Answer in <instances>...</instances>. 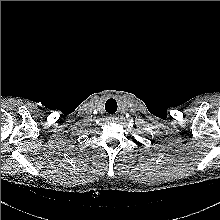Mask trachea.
Listing matches in <instances>:
<instances>
[{"mask_svg":"<svg viewBox=\"0 0 220 220\" xmlns=\"http://www.w3.org/2000/svg\"><path fill=\"white\" fill-rule=\"evenodd\" d=\"M105 110L106 112L113 114L117 111V103L114 99L107 100L105 104Z\"/></svg>","mask_w":220,"mask_h":220,"instance_id":"3493384b","label":"trachea"}]
</instances>
